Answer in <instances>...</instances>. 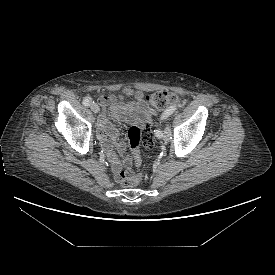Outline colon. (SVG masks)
I'll list each match as a JSON object with an SVG mask.
<instances>
[{"mask_svg":"<svg viewBox=\"0 0 275 275\" xmlns=\"http://www.w3.org/2000/svg\"><path fill=\"white\" fill-rule=\"evenodd\" d=\"M147 101L150 105L164 109L177 100V97L168 91H157L147 96ZM129 145L133 154V157L137 163L140 162L139 146L140 143L147 149H151L154 146L153 133L149 125L141 128L139 126H132L129 128L128 133ZM140 174L128 173L127 176L121 182L126 188L135 186L140 180Z\"/></svg>","mask_w":275,"mask_h":275,"instance_id":"colon-1","label":"colon"}]
</instances>
